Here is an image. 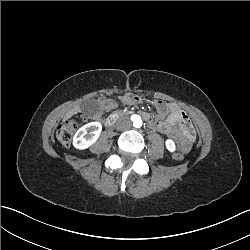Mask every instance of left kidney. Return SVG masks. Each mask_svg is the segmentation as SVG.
Wrapping results in <instances>:
<instances>
[{"instance_id":"obj_1","label":"left kidney","mask_w":250,"mask_h":250,"mask_svg":"<svg viewBox=\"0 0 250 250\" xmlns=\"http://www.w3.org/2000/svg\"><path fill=\"white\" fill-rule=\"evenodd\" d=\"M166 144H167V148H168L170 151H173V150H174V143H173V141L168 140Z\"/></svg>"}]
</instances>
